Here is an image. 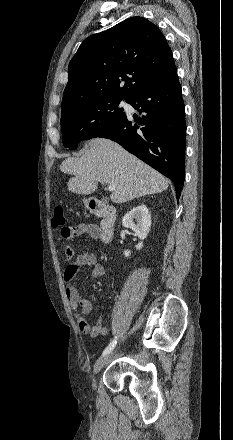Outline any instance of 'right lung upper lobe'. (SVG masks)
I'll list each match as a JSON object with an SVG mask.
<instances>
[{
	"label": "right lung upper lobe",
	"instance_id": "obj_1",
	"mask_svg": "<svg viewBox=\"0 0 233 440\" xmlns=\"http://www.w3.org/2000/svg\"><path fill=\"white\" fill-rule=\"evenodd\" d=\"M175 68L161 31L142 17L129 18L80 45L69 63L61 109L95 98L128 99Z\"/></svg>",
	"mask_w": 233,
	"mask_h": 440
}]
</instances>
